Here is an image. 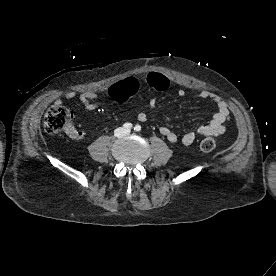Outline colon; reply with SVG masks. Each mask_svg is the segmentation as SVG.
Masks as SVG:
<instances>
[{
    "label": "colon",
    "instance_id": "colon-1",
    "mask_svg": "<svg viewBox=\"0 0 276 276\" xmlns=\"http://www.w3.org/2000/svg\"><path fill=\"white\" fill-rule=\"evenodd\" d=\"M73 116L71 112L60 104L52 105L44 117V129L48 134H57L72 130ZM216 148L214 138L207 137L200 141L199 149L202 152H211Z\"/></svg>",
    "mask_w": 276,
    "mask_h": 276
}]
</instances>
